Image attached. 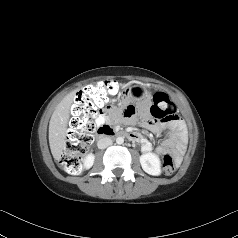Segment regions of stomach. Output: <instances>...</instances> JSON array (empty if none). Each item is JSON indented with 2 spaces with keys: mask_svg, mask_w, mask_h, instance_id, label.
<instances>
[{
  "mask_svg": "<svg viewBox=\"0 0 238 238\" xmlns=\"http://www.w3.org/2000/svg\"><path fill=\"white\" fill-rule=\"evenodd\" d=\"M137 87L140 89V91L142 92L143 95H146V96L149 95V93L147 92V90L144 87H142V86H137ZM136 94H138V93L136 92Z\"/></svg>",
  "mask_w": 238,
  "mask_h": 238,
  "instance_id": "0dacf381",
  "label": "stomach"
}]
</instances>
